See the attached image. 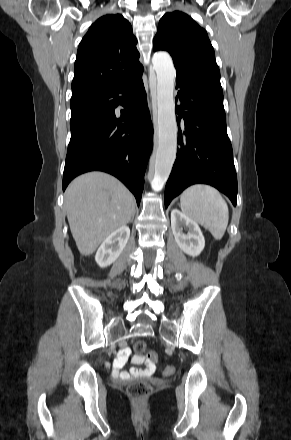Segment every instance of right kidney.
I'll return each instance as SVG.
<instances>
[{
    "label": "right kidney",
    "mask_w": 291,
    "mask_h": 440,
    "mask_svg": "<svg viewBox=\"0 0 291 440\" xmlns=\"http://www.w3.org/2000/svg\"><path fill=\"white\" fill-rule=\"evenodd\" d=\"M130 237L129 227L122 226L111 233L100 245L95 260L100 267L112 264L121 254Z\"/></svg>",
    "instance_id": "ca27d5eb"
}]
</instances>
